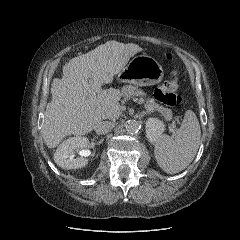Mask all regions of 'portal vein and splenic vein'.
Masks as SVG:
<instances>
[{"label":"portal vein and splenic vein","instance_id":"obj_1","mask_svg":"<svg viewBox=\"0 0 240 240\" xmlns=\"http://www.w3.org/2000/svg\"><path fill=\"white\" fill-rule=\"evenodd\" d=\"M100 87L101 86L99 85V86H94L92 88V92L91 93H92L93 96L101 92V88ZM138 102L141 103L142 100H138ZM144 107H145V109L147 111H150V112L154 111V109L150 105H148V104H144ZM174 127H175L174 125H171L170 130L172 131Z\"/></svg>","mask_w":240,"mask_h":240}]
</instances>
